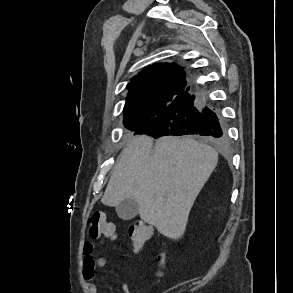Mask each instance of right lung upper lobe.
I'll use <instances>...</instances> for the list:
<instances>
[{
    "label": "right lung upper lobe",
    "instance_id": "right-lung-upper-lobe-1",
    "mask_svg": "<svg viewBox=\"0 0 293 293\" xmlns=\"http://www.w3.org/2000/svg\"><path fill=\"white\" fill-rule=\"evenodd\" d=\"M186 84L182 68L175 64L162 63L145 68L127 85L130 92L124 112L145 107L154 111L156 117L185 91Z\"/></svg>",
    "mask_w": 293,
    "mask_h": 293
}]
</instances>
